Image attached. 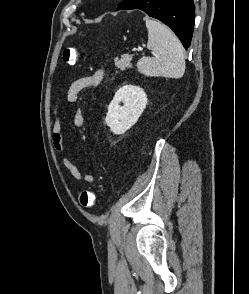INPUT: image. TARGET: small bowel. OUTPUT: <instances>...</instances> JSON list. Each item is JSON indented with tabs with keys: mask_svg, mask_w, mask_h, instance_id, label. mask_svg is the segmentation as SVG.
<instances>
[{
	"mask_svg": "<svg viewBox=\"0 0 249 294\" xmlns=\"http://www.w3.org/2000/svg\"><path fill=\"white\" fill-rule=\"evenodd\" d=\"M104 78V71L102 69L95 70L92 74L82 77L74 81L66 93L65 103L74 104L82 100L83 92L88 88L98 87ZM64 107V102L57 99L52 110L53 127L52 140L56 151L63 152L64 134L62 130L61 112ZM73 123L77 128L84 126L85 118L80 108L76 109L73 115ZM64 167L69 171L70 175L79 182L93 183L95 178L90 173H82L77 166L66 156L62 157Z\"/></svg>",
	"mask_w": 249,
	"mask_h": 294,
	"instance_id": "small-bowel-1",
	"label": "small bowel"
}]
</instances>
